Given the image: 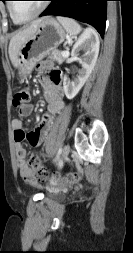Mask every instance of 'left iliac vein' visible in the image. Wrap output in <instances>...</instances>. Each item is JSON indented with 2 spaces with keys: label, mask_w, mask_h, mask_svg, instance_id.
Returning <instances> with one entry per match:
<instances>
[{
  "label": "left iliac vein",
  "mask_w": 133,
  "mask_h": 253,
  "mask_svg": "<svg viewBox=\"0 0 133 253\" xmlns=\"http://www.w3.org/2000/svg\"><path fill=\"white\" fill-rule=\"evenodd\" d=\"M70 153V146L69 145H65L62 149V152H61V160L62 162L68 157Z\"/></svg>",
  "instance_id": "4c4485c4"
}]
</instances>
